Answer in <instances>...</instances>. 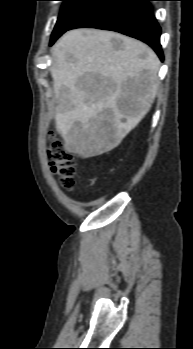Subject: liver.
Wrapping results in <instances>:
<instances>
[{
  "instance_id": "6515ba94",
  "label": "liver",
  "mask_w": 193,
  "mask_h": 349,
  "mask_svg": "<svg viewBox=\"0 0 193 349\" xmlns=\"http://www.w3.org/2000/svg\"><path fill=\"white\" fill-rule=\"evenodd\" d=\"M112 39L122 47L115 49ZM51 54L55 123L65 147L82 158L116 148L154 102L160 65L156 53L116 32L76 29L66 32ZM121 99L131 101L135 110L124 113ZM105 109L112 111L110 118Z\"/></svg>"
}]
</instances>
